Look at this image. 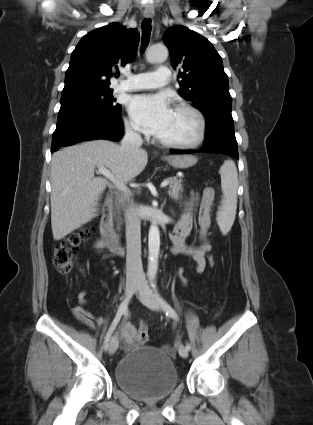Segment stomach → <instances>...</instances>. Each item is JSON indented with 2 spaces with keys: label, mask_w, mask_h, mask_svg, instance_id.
<instances>
[{
  "label": "stomach",
  "mask_w": 313,
  "mask_h": 425,
  "mask_svg": "<svg viewBox=\"0 0 313 425\" xmlns=\"http://www.w3.org/2000/svg\"><path fill=\"white\" fill-rule=\"evenodd\" d=\"M165 160L175 169H186L197 162V158L192 155H171Z\"/></svg>",
  "instance_id": "obj_1"
}]
</instances>
